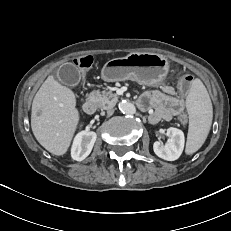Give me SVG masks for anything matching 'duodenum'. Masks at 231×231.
<instances>
[{
	"instance_id": "410a0bca",
	"label": "duodenum",
	"mask_w": 231,
	"mask_h": 231,
	"mask_svg": "<svg viewBox=\"0 0 231 231\" xmlns=\"http://www.w3.org/2000/svg\"><path fill=\"white\" fill-rule=\"evenodd\" d=\"M138 105L141 108V104L139 101H138ZM96 109H97L96 101L92 97H88L83 103V111L86 114L91 115L95 113Z\"/></svg>"
}]
</instances>
